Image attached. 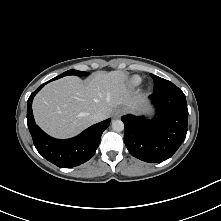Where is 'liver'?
I'll return each mask as SVG.
<instances>
[{
  "label": "liver",
  "mask_w": 221,
  "mask_h": 221,
  "mask_svg": "<svg viewBox=\"0 0 221 221\" xmlns=\"http://www.w3.org/2000/svg\"><path fill=\"white\" fill-rule=\"evenodd\" d=\"M139 102L128 88L126 73L99 71L85 81L67 76L49 83L36 95L32 108L36 123L46 133L68 138L94 124L95 112L106 119L115 107L135 109Z\"/></svg>",
  "instance_id": "1"
}]
</instances>
